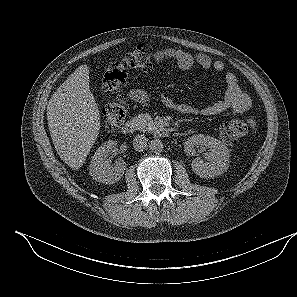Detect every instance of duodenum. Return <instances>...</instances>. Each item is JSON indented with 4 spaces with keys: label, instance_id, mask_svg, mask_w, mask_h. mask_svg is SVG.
<instances>
[{
    "label": "duodenum",
    "instance_id": "410a0bca",
    "mask_svg": "<svg viewBox=\"0 0 297 297\" xmlns=\"http://www.w3.org/2000/svg\"><path fill=\"white\" fill-rule=\"evenodd\" d=\"M138 128V123L135 120H128L122 124L120 131L122 134L130 135L136 132ZM175 130L174 128H167V127H158L155 130V133L158 136L166 137L173 133Z\"/></svg>",
    "mask_w": 297,
    "mask_h": 297
}]
</instances>
